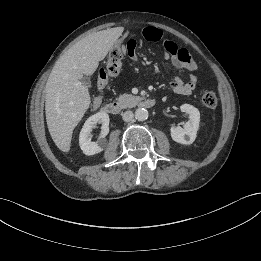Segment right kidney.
<instances>
[{
  "label": "right kidney",
  "mask_w": 261,
  "mask_h": 261,
  "mask_svg": "<svg viewBox=\"0 0 261 261\" xmlns=\"http://www.w3.org/2000/svg\"><path fill=\"white\" fill-rule=\"evenodd\" d=\"M109 121V115L103 111L97 112L85 121L79 135V145L85 155H94L104 150L107 145L105 137L109 133ZM97 123L102 124L101 134L96 142H92L91 132Z\"/></svg>",
  "instance_id": "right-kidney-1"
}]
</instances>
